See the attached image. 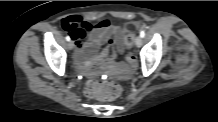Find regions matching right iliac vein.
<instances>
[{"mask_svg": "<svg viewBox=\"0 0 218 122\" xmlns=\"http://www.w3.org/2000/svg\"><path fill=\"white\" fill-rule=\"evenodd\" d=\"M67 48H68L69 50H72V49L74 48V43H73V41H69V43L67 44Z\"/></svg>", "mask_w": 218, "mask_h": 122, "instance_id": "1", "label": "right iliac vein"}]
</instances>
